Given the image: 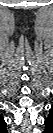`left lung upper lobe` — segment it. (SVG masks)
<instances>
[{
    "label": "left lung upper lobe",
    "mask_w": 53,
    "mask_h": 133,
    "mask_svg": "<svg viewBox=\"0 0 53 133\" xmlns=\"http://www.w3.org/2000/svg\"><path fill=\"white\" fill-rule=\"evenodd\" d=\"M51 114H52V112L50 111V115H49V117H48V118L46 119V121H45V125H46V126H48V125L52 122Z\"/></svg>",
    "instance_id": "5c2ea615"
}]
</instances>
